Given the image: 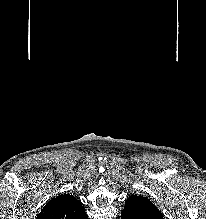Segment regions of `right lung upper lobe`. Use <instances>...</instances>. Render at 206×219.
Wrapping results in <instances>:
<instances>
[{"mask_svg":"<svg viewBox=\"0 0 206 219\" xmlns=\"http://www.w3.org/2000/svg\"><path fill=\"white\" fill-rule=\"evenodd\" d=\"M36 219H88L82 202L70 194H60L52 198Z\"/></svg>","mask_w":206,"mask_h":219,"instance_id":"cb5924a9","label":"right lung upper lobe"}]
</instances>
